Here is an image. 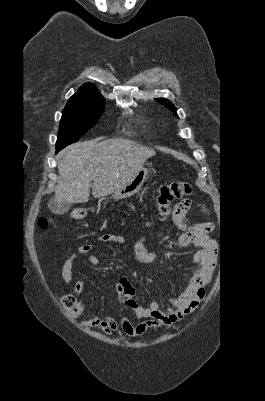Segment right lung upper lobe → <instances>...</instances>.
Instances as JSON below:
<instances>
[{
  "label": "right lung upper lobe",
  "instance_id": "right-lung-upper-lobe-1",
  "mask_svg": "<svg viewBox=\"0 0 265 401\" xmlns=\"http://www.w3.org/2000/svg\"><path fill=\"white\" fill-rule=\"evenodd\" d=\"M102 101H105V99L101 96L98 89L93 84L86 83L77 93L70 97L66 106Z\"/></svg>",
  "mask_w": 265,
  "mask_h": 401
}]
</instances>
